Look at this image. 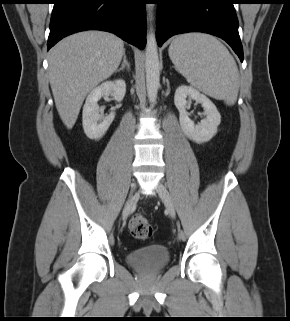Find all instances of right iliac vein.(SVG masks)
<instances>
[{
	"mask_svg": "<svg viewBox=\"0 0 290 321\" xmlns=\"http://www.w3.org/2000/svg\"><path fill=\"white\" fill-rule=\"evenodd\" d=\"M135 188H136V184L133 185V191L130 193L128 201L126 202V205L123 210V216H126L130 212L133 205L136 203L138 199L137 194L134 192Z\"/></svg>",
	"mask_w": 290,
	"mask_h": 321,
	"instance_id": "right-iliac-vein-1",
	"label": "right iliac vein"
}]
</instances>
